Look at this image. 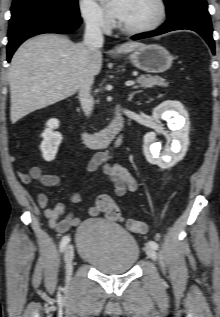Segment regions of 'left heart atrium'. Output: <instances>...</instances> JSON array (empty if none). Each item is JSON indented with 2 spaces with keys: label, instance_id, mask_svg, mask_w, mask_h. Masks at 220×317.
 <instances>
[{
  "label": "left heart atrium",
  "instance_id": "1",
  "mask_svg": "<svg viewBox=\"0 0 220 317\" xmlns=\"http://www.w3.org/2000/svg\"><path fill=\"white\" fill-rule=\"evenodd\" d=\"M107 12L117 20H121L126 12L129 0H101Z\"/></svg>",
  "mask_w": 220,
  "mask_h": 317
}]
</instances>
